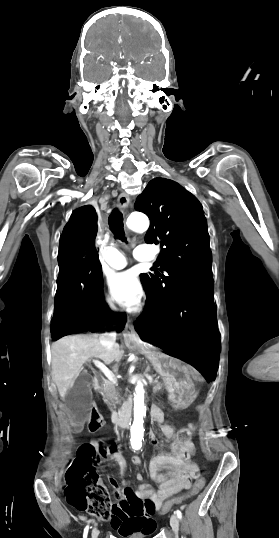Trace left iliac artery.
<instances>
[{"label":"left iliac artery","instance_id":"1","mask_svg":"<svg viewBox=\"0 0 279 538\" xmlns=\"http://www.w3.org/2000/svg\"><path fill=\"white\" fill-rule=\"evenodd\" d=\"M176 514H177V516H178V518H179V519H181V518H182V513H181V511H180V510H177V511H176Z\"/></svg>","mask_w":279,"mask_h":538}]
</instances>
